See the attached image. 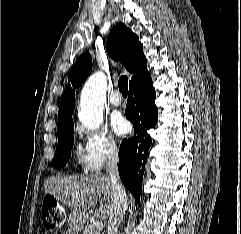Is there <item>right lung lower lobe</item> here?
<instances>
[{"label": "right lung lower lobe", "instance_id": "obj_1", "mask_svg": "<svg viewBox=\"0 0 241 234\" xmlns=\"http://www.w3.org/2000/svg\"><path fill=\"white\" fill-rule=\"evenodd\" d=\"M155 98L149 73L129 86L125 115L133 123L135 134L122 141L118 168L122 182L133 193L136 202L140 199L145 161L151 145L147 130L153 128L158 120Z\"/></svg>", "mask_w": 241, "mask_h": 234}]
</instances>
